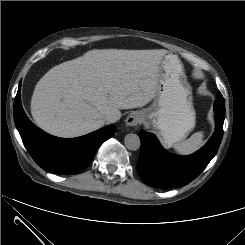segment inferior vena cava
<instances>
[{"label":"inferior vena cava","mask_w":245,"mask_h":245,"mask_svg":"<svg viewBox=\"0 0 245 245\" xmlns=\"http://www.w3.org/2000/svg\"><path fill=\"white\" fill-rule=\"evenodd\" d=\"M121 115L120 113H115V112H109L107 113L104 117L103 120L106 123H114L120 119Z\"/></svg>","instance_id":"602c4592"}]
</instances>
